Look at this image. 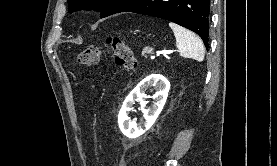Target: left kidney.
Listing matches in <instances>:
<instances>
[{
  "mask_svg": "<svg viewBox=\"0 0 277 166\" xmlns=\"http://www.w3.org/2000/svg\"><path fill=\"white\" fill-rule=\"evenodd\" d=\"M156 90L152 107L145 108V91L149 88ZM170 89L169 81L160 74H152L143 79L126 97L118 114V125L121 132L128 138H137L149 130L161 113ZM135 101L142 104L141 111L145 119L141 124L133 122L129 118Z\"/></svg>",
  "mask_w": 277,
  "mask_h": 166,
  "instance_id": "left-kidney-1",
  "label": "left kidney"
}]
</instances>
